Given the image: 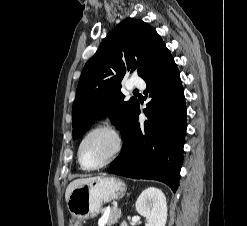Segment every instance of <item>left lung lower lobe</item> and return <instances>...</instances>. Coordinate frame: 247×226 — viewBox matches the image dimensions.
I'll return each mask as SVG.
<instances>
[{
  "label": "left lung lower lobe",
  "instance_id": "0a47b994",
  "mask_svg": "<svg viewBox=\"0 0 247 226\" xmlns=\"http://www.w3.org/2000/svg\"><path fill=\"white\" fill-rule=\"evenodd\" d=\"M142 78L147 83L145 94L152 98L144 109L148 120L139 124L138 103L121 131L122 151L108 172L158 180L175 192L183 159L186 107L179 71L166 46Z\"/></svg>",
  "mask_w": 247,
  "mask_h": 226
}]
</instances>
